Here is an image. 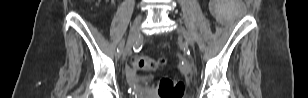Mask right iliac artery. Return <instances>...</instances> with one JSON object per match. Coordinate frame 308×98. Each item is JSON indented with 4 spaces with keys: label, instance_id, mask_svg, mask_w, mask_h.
I'll list each match as a JSON object with an SVG mask.
<instances>
[{
    "label": "right iliac artery",
    "instance_id": "right-iliac-artery-1",
    "mask_svg": "<svg viewBox=\"0 0 308 98\" xmlns=\"http://www.w3.org/2000/svg\"><path fill=\"white\" fill-rule=\"evenodd\" d=\"M124 43H125L124 40L120 43V45H119V47L117 49L118 54H120L123 51Z\"/></svg>",
    "mask_w": 308,
    "mask_h": 98
}]
</instances>
